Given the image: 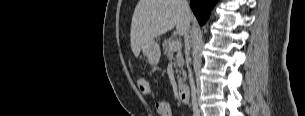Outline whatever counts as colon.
<instances>
[{"instance_id": "obj_1", "label": "colon", "mask_w": 305, "mask_h": 116, "mask_svg": "<svg viewBox=\"0 0 305 116\" xmlns=\"http://www.w3.org/2000/svg\"><path fill=\"white\" fill-rule=\"evenodd\" d=\"M136 83H137V87H138L139 92L144 97L149 98L154 103H156L157 97L154 94L149 81L146 78L142 77V76H138L137 79H136Z\"/></svg>"}]
</instances>
